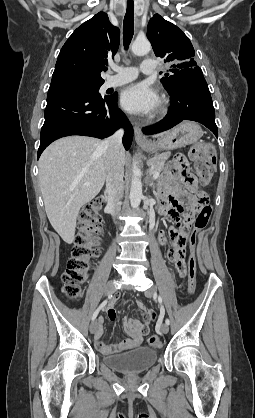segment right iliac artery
I'll use <instances>...</instances> for the list:
<instances>
[{
	"label": "right iliac artery",
	"mask_w": 255,
	"mask_h": 418,
	"mask_svg": "<svg viewBox=\"0 0 255 418\" xmlns=\"http://www.w3.org/2000/svg\"><path fill=\"white\" fill-rule=\"evenodd\" d=\"M107 304V300L103 301L100 306L95 310V312L92 315V321H94L100 311L101 308H103Z\"/></svg>",
	"instance_id": "82829eb1"
}]
</instances>
